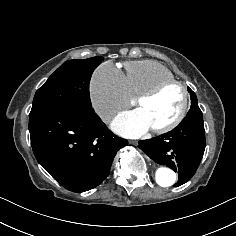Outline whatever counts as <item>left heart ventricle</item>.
<instances>
[{"label":"left heart ventricle","instance_id":"left-heart-ventricle-1","mask_svg":"<svg viewBox=\"0 0 236 236\" xmlns=\"http://www.w3.org/2000/svg\"><path fill=\"white\" fill-rule=\"evenodd\" d=\"M183 96L179 88L170 87L153 99L138 105L142 110L150 129L169 124L179 114Z\"/></svg>","mask_w":236,"mask_h":236}]
</instances>
